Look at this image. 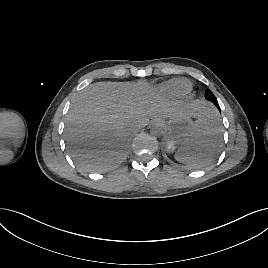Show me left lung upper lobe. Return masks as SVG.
<instances>
[{"label": "left lung upper lobe", "instance_id": "5c2ea615", "mask_svg": "<svg viewBox=\"0 0 268 268\" xmlns=\"http://www.w3.org/2000/svg\"><path fill=\"white\" fill-rule=\"evenodd\" d=\"M205 98L213 103L217 102L216 97L214 96V94L211 92V90H206L205 92Z\"/></svg>", "mask_w": 268, "mask_h": 268}]
</instances>
